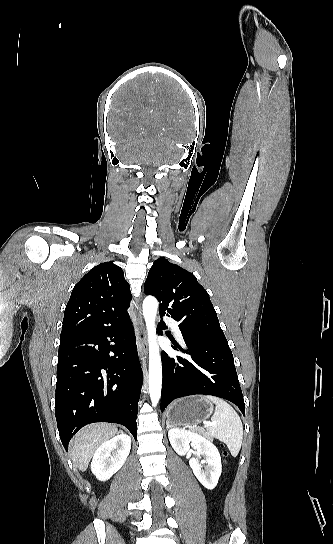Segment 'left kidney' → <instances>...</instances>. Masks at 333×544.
<instances>
[{
	"label": "left kidney",
	"mask_w": 333,
	"mask_h": 544,
	"mask_svg": "<svg viewBox=\"0 0 333 544\" xmlns=\"http://www.w3.org/2000/svg\"><path fill=\"white\" fill-rule=\"evenodd\" d=\"M169 441L179 455L190 452V443L195 447L197 458L205 457L206 471H203L197 458L189 460L190 467L199 482L207 489H214L222 472L221 456L211 440L198 433L182 429H171L168 432Z\"/></svg>",
	"instance_id": "obj_1"
}]
</instances>
